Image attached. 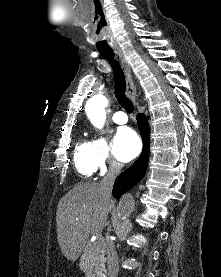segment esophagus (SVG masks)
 <instances>
[{"instance_id":"esophagus-1","label":"esophagus","mask_w":221,"mask_h":277,"mask_svg":"<svg viewBox=\"0 0 221 277\" xmlns=\"http://www.w3.org/2000/svg\"><path fill=\"white\" fill-rule=\"evenodd\" d=\"M115 54L119 57L121 60L122 66L125 71L126 75V83H127V94L132 98V100L135 102L136 99V86L133 81L131 67L126 60L125 56L123 55L122 51L120 49L115 50Z\"/></svg>"}]
</instances>
